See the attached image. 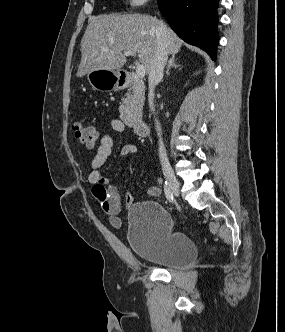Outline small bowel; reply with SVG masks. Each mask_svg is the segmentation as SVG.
Masks as SVG:
<instances>
[{
  "instance_id": "obj_1",
  "label": "small bowel",
  "mask_w": 285,
  "mask_h": 332,
  "mask_svg": "<svg viewBox=\"0 0 285 332\" xmlns=\"http://www.w3.org/2000/svg\"><path fill=\"white\" fill-rule=\"evenodd\" d=\"M110 126L118 134H123L126 131V126L120 119L111 120ZM113 145L114 141L109 133L101 136L99 146L91 161V171L88 180L92 184L93 197L109 216L111 225L119 228L121 226V219L118 215L122 206L124 204L126 207H130L133 204L134 198L129 192H125L122 197L119 189L115 186H109V179L102 175V167L111 155ZM136 152L137 147L134 144H127L121 148L119 157L123 158ZM146 194L149 197H158L161 194V188L160 186H152L146 191Z\"/></svg>"
}]
</instances>
